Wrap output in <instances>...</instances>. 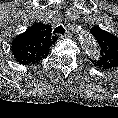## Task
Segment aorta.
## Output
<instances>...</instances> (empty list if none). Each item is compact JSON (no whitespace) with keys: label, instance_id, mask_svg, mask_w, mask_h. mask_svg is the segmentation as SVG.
Returning <instances> with one entry per match:
<instances>
[{"label":"aorta","instance_id":"762f6f07","mask_svg":"<svg viewBox=\"0 0 118 118\" xmlns=\"http://www.w3.org/2000/svg\"><path fill=\"white\" fill-rule=\"evenodd\" d=\"M79 39L86 54L93 57L99 56V49L94 37L86 30H81Z\"/></svg>","mask_w":118,"mask_h":118}]
</instances>
